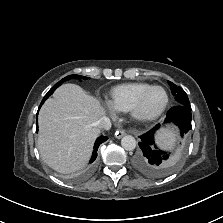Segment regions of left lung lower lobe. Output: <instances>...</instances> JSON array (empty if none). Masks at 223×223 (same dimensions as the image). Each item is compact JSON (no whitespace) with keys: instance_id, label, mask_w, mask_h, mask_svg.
<instances>
[{"instance_id":"0a47b994","label":"left lung lower lobe","mask_w":223,"mask_h":223,"mask_svg":"<svg viewBox=\"0 0 223 223\" xmlns=\"http://www.w3.org/2000/svg\"><path fill=\"white\" fill-rule=\"evenodd\" d=\"M173 122L181 131L183 137L191 129V106L177 105L167 112L165 123ZM159 125L140 136V153L135 159L136 167L150 176H161L169 170L165 162L169 155L158 150L154 144V134Z\"/></svg>"}]
</instances>
